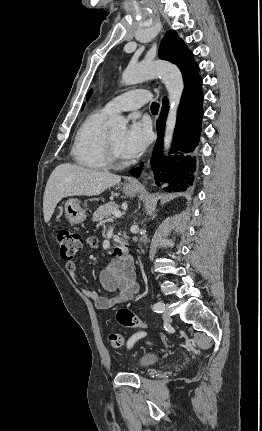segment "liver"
<instances>
[{
  "instance_id": "1",
  "label": "liver",
  "mask_w": 262,
  "mask_h": 431,
  "mask_svg": "<svg viewBox=\"0 0 262 431\" xmlns=\"http://www.w3.org/2000/svg\"><path fill=\"white\" fill-rule=\"evenodd\" d=\"M121 181L118 175L63 163L51 173L43 197L44 221L48 223L54 210L68 196H96Z\"/></svg>"
}]
</instances>
